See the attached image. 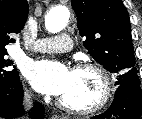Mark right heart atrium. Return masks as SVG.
<instances>
[{"instance_id":"1","label":"right heart atrium","mask_w":142,"mask_h":119,"mask_svg":"<svg viewBox=\"0 0 142 119\" xmlns=\"http://www.w3.org/2000/svg\"><path fill=\"white\" fill-rule=\"evenodd\" d=\"M26 95H30V91L28 89L25 90Z\"/></svg>"}]
</instances>
